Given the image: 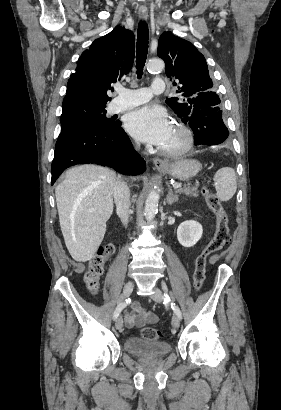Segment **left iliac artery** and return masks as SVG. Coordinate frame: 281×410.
<instances>
[{
	"instance_id": "1",
	"label": "left iliac artery",
	"mask_w": 281,
	"mask_h": 410,
	"mask_svg": "<svg viewBox=\"0 0 281 410\" xmlns=\"http://www.w3.org/2000/svg\"><path fill=\"white\" fill-rule=\"evenodd\" d=\"M164 303H167L171 306L174 313L181 319L182 313L179 307L173 301V295L171 293H164Z\"/></svg>"
}]
</instances>
